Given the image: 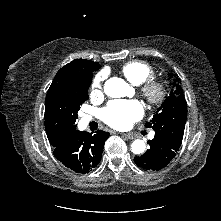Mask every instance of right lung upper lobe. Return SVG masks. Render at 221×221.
Instances as JSON below:
<instances>
[{"label": "right lung upper lobe", "mask_w": 221, "mask_h": 221, "mask_svg": "<svg viewBox=\"0 0 221 221\" xmlns=\"http://www.w3.org/2000/svg\"><path fill=\"white\" fill-rule=\"evenodd\" d=\"M100 67L101 65L94 61L75 59L57 72L47 93L67 91L80 83L92 82V72L98 70ZM47 136L53 147L65 142L69 137Z\"/></svg>", "instance_id": "cb5924a9"}]
</instances>
